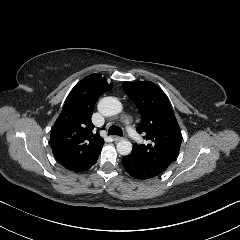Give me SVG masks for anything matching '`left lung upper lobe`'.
I'll return each mask as SVG.
<instances>
[{"label": "left lung upper lobe", "instance_id": "left-lung-upper-lobe-1", "mask_svg": "<svg viewBox=\"0 0 240 240\" xmlns=\"http://www.w3.org/2000/svg\"><path fill=\"white\" fill-rule=\"evenodd\" d=\"M126 94L140 110L141 124L147 144H134L131 155L144 164L164 170L179 153L182 134L168 99L151 82L123 83Z\"/></svg>", "mask_w": 240, "mask_h": 240}]
</instances>
